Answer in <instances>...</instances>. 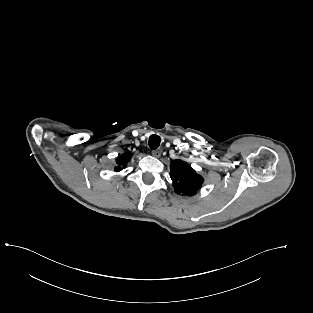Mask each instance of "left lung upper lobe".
Returning <instances> with one entry per match:
<instances>
[{
  "label": "left lung upper lobe",
  "instance_id": "1",
  "mask_svg": "<svg viewBox=\"0 0 313 313\" xmlns=\"http://www.w3.org/2000/svg\"><path fill=\"white\" fill-rule=\"evenodd\" d=\"M170 177L176 193L192 196L201 188L203 178L182 160H174L170 164Z\"/></svg>",
  "mask_w": 313,
  "mask_h": 313
}]
</instances>
